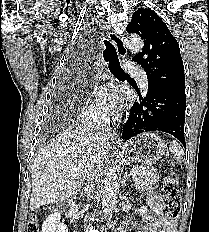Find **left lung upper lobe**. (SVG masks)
<instances>
[{
  "label": "left lung upper lobe",
  "instance_id": "5c2ea615",
  "mask_svg": "<svg viewBox=\"0 0 209 232\" xmlns=\"http://www.w3.org/2000/svg\"><path fill=\"white\" fill-rule=\"evenodd\" d=\"M126 29L144 40L142 52L133 60L144 68L148 90H167L185 95L179 45L162 19L152 10L141 8L133 13Z\"/></svg>",
  "mask_w": 209,
  "mask_h": 232
}]
</instances>
